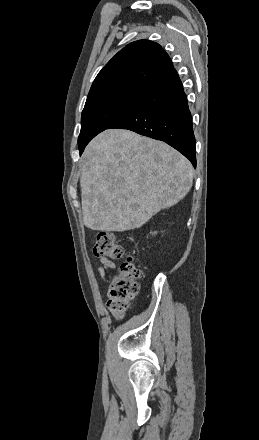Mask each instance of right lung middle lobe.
Instances as JSON below:
<instances>
[{
    "mask_svg": "<svg viewBox=\"0 0 259 440\" xmlns=\"http://www.w3.org/2000/svg\"><path fill=\"white\" fill-rule=\"evenodd\" d=\"M146 92L147 90L124 89L86 101L78 137L80 154L92 138L128 113Z\"/></svg>",
    "mask_w": 259,
    "mask_h": 440,
    "instance_id": "obj_1",
    "label": "right lung middle lobe"
}]
</instances>
